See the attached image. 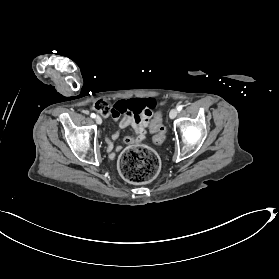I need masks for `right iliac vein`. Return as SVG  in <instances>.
Masks as SVG:
<instances>
[{
  "instance_id": "obj_1",
  "label": "right iliac vein",
  "mask_w": 279,
  "mask_h": 279,
  "mask_svg": "<svg viewBox=\"0 0 279 279\" xmlns=\"http://www.w3.org/2000/svg\"><path fill=\"white\" fill-rule=\"evenodd\" d=\"M95 121H96V123L99 124V125L102 123V119H101L100 116H96Z\"/></svg>"
}]
</instances>
